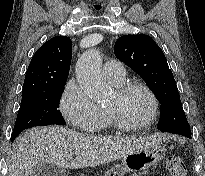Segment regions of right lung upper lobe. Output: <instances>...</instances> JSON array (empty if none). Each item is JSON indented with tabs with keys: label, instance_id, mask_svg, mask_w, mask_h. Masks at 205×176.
Instances as JSON below:
<instances>
[{
	"label": "right lung upper lobe",
	"instance_id": "right-lung-upper-lobe-1",
	"mask_svg": "<svg viewBox=\"0 0 205 176\" xmlns=\"http://www.w3.org/2000/svg\"><path fill=\"white\" fill-rule=\"evenodd\" d=\"M72 58L69 37L56 36L45 42L28 66L22 95L46 91L66 83Z\"/></svg>",
	"mask_w": 205,
	"mask_h": 176
}]
</instances>
